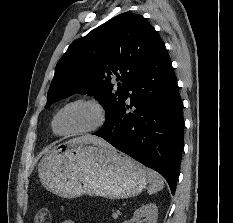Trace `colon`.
I'll use <instances>...</instances> for the list:
<instances>
[{"label":"colon","instance_id":"colon-1","mask_svg":"<svg viewBox=\"0 0 233 223\" xmlns=\"http://www.w3.org/2000/svg\"><path fill=\"white\" fill-rule=\"evenodd\" d=\"M48 222V211L41 209L38 213L36 223H47Z\"/></svg>","mask_w":233,"mask_h":223}]
</instances>
